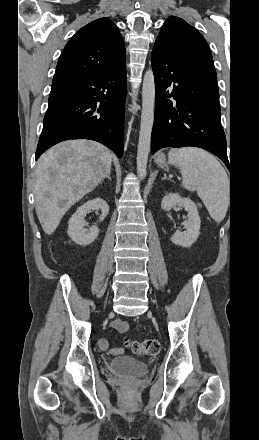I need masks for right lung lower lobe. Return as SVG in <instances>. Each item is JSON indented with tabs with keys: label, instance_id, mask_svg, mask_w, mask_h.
Wrapping results in <instances>:
<instances>
[{
	"label": "right lung lower lobe",
	"instance_id": "obj_1",
	"mask_svg": "<svg viewBox=\"0 0 259 440\" xmlns=\"http://www.w3.org/2000/svg\"><path fill=\"white\" fill-rule=\"evenodd\" d=\"M126 83V62L74 81L52 83L36 160L51 146L69 139L98 141L121 157Z\"/></svg>",
	"mask_w": 259,
	"mask_h": 440
}]
</instances>
